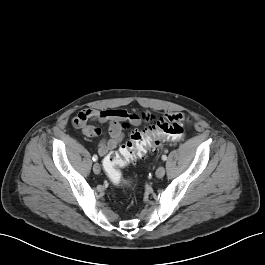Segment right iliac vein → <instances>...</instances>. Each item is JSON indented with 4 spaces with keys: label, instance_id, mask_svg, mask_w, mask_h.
I'll return each mask as SVG.
<instances>
[{
    "label": "right iliac vein",
    "instance_id": "obj_1",
    "mask_svg": "<svg viewBox=\"0 0 265 265\" xmlns=\"http://www.w3.org/2000/svg\"><path fill=\"white\" fill-rule=\"evenodd\" d=\"M93 171H94L95 174H99L100 173L101 167H100V165L98 163H95L93 165Z\"/></svg>",
    "mask_w": 265,
    "mask_h": 265
}]
</instances>
